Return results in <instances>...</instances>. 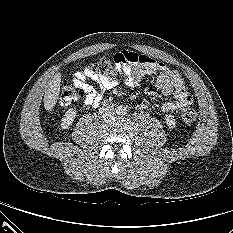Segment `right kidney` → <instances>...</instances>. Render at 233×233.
I'll use <instances>...</instances> for the list:
<instances>
[{
  "instance_id": "1",
  "label": "right kidney",
  "mask_w": 233,
  "mask_h": 233,
  "mask_svg": "<svg viewBox=\"0 0 233 233\" xmlns=\"http://www.w3.org/2000/svg\"><path fill=\"white\" fill-rule=\"evenodd\" d=\"M76 110L75 109H68L66 111V113L64 114V118H62V123H61V127L63 129L68 128L74 121L75 117H76Z\"/></svg>"
}]
</instances>
